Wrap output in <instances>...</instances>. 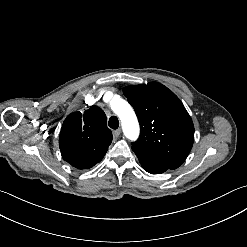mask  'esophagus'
Listing matches in <instances>:
<instances>
[{
  "label": "esophagus",
  "instance_id": "obj_1",
  "mask_svg": "<svg viewBox=\"0 0 247 247\" xmlns=\"http://www.w3.org/2000/svg\"><path fill=\"white\" fill-rule=\"evenodd\" d=\"M121 134V129H117L113 131V137L117 139L119 135Z\"/></svg>",
  "mask_w": 247,
  "mask_h": 247
}]
</instances>
